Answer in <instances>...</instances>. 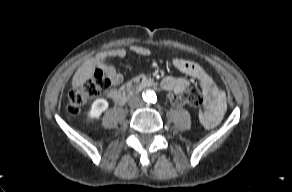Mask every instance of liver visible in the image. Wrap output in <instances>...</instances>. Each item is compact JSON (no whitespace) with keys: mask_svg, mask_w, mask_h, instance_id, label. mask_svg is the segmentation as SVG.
<instances>
[{"mask_svg":"<svg viewBox=\"0 0 292 192\" xmlns=\"http://www.w3.org/2000/svg\"><path fill=\"white\" fill-rule=\"evenodd\" d=\"M96 67V59L90 58L86 60L75 72L72 79V87L82 86L87 80L92 78Z\"/></svg>","mask_w":292,"mask_h":192,"instance_id":"6515ba94","label":"liver"}]
</instances>
